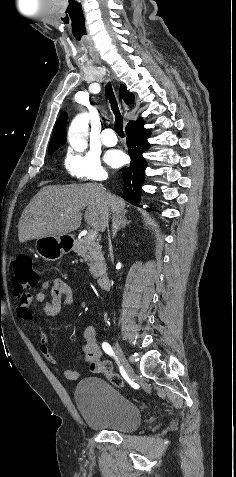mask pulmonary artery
<instances>
[{"instance_id": "e3ab8cb5", "label": "pulmonary artery", "mask_w": 236, "mask_h": 477, "mask_svg": "<svg viewBox=\"0 0 236 477\" xmlns=\"http://www.w3.org/2000/svg\"><path fill=\"white\" fill-rule=\"evenodd\" d=\"M101 140L106 146H115L117 144V137L111 128H105L101 132Z\"/></svg>"}]
</instances>
